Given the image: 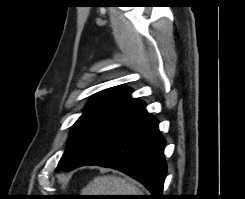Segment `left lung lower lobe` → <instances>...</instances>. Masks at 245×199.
Here are the masks:
<instances>
[{
  "instance_id": "obj_1",
  "label": "left lung lower lobe",
  "mask_w": 245,
  "mask_h": 199,
  "mask_svg": "<svg viewBox=\"0 0 245 199\" xmlns=\"http://www.w3.org/2000/svg\"><path fill=\"white\" fill-rule=\"evenodd\" d=\"M137 100L102 128L65 171L84 165H99L124 172L141 182L152 199H162L167 166L165 140L158 121Z\"/></svg>"
}]
</instances>
